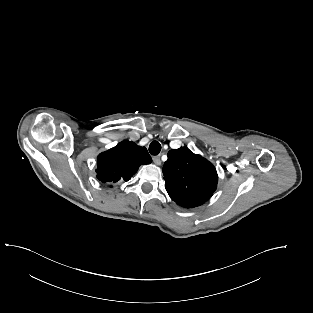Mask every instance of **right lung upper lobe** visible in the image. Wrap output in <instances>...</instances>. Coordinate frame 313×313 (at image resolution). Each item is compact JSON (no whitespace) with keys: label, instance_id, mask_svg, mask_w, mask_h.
Listing matches in <instances>:
<instances>
[{"label":"right lung upper lobe","instance_id":"right-lung-upper-lobe-1","mask_svg":"<svg viewBox=\"0 0 313 313\" xmlns=\"http://www.w3.org/2000/svg\"><path fill=\"white\" fill-rule=\"evenodd\" d=\"M152 159L145 147L134 142L122 141L97 157V178L102 183L116 184L128 181L140 165L150 164Z\"/></svg>","mask_w":313,"mask_h":313}]
</instances>
